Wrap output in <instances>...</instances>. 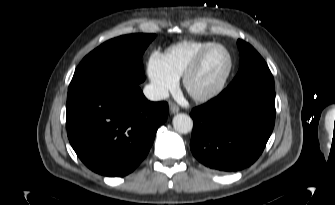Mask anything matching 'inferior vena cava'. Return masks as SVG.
Listing matches in <instances>:
<instances>
[{
    "label": "inferior vena cava",
    "mask_w": 335,
    "mask_h": 205,
    "mask_svg": "<svg viewBox=\"0 0 335 205\" xmlns=\"http://www.w3.org/2000/svg\"><path fill=\"white\" fill-rule=\"evenodd\" d=\"M143 93L146 96V98L152 101L163 100L168 96V92L166 90L157 88L150 84L144 87Z\"/></svg>",
    "instance_id": "inferior-vena-cava-1"
}]
</instances>
